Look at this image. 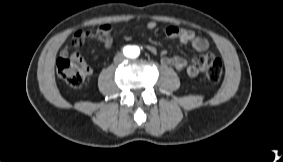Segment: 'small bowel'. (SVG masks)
Masks as SVG:
<instances>
[{"label": "small bowel", "mask_w": 283, "mask_h": 162, "mask_svg": "<svg viewBox=\"0 0 283 162\" xmlns=\"http://www.w3.org/2000/svg\"><path fill=\"white\" fill-rule=\"evenodd\" d=\"M146 28L148 30H156L158 28V24L155 21H149L146 24ZM110 31L111 27L109 24H102L94 30L78 31L73 36L71 45L76 48L82 45L85 38H97L104 44L106 48H110L112 45ZM164 33L168 38L176 39L182 44H190L198 52L205 53L209 48L208 41L204 37L197 36L191 30L170 25L164 29ZM147 49L151 53H158L157 49L154 46H147ZM159 54L161 56L162 65L169 66L176 71L183 72L189 77L197 76L199 72L203 70L205 62L208 58L207 55H203L193 59L192 61H188L187 59L180 56L168 57L164 51H161ZM68 55L69 48L65 47L61 51V56ZM72 57L83 60V58L77 53H74Z\"/></svg>", "instance_id": "small-bowel-1"}]
</instances>
